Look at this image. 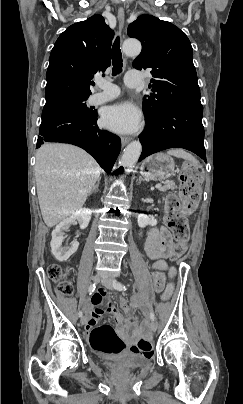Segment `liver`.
<instances>
[{"mask_svg": "<svg viewBox=\"0 0 243 404\" xmlns=\"http://www.w3.org/2000/svg\"><path fill=\"white\" fill-rule=\"evenodd\" d=\"M101 168L87 152L70 144H43L36 154L35 178L42 218L53 228L84 206Z\"/></svg>", "mask_w": 243, "mask_h": 404, "instance_id": "liver-1", "label": "liver"}]
</instances>
